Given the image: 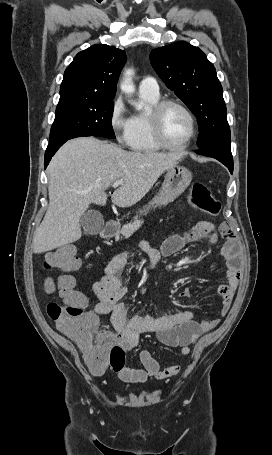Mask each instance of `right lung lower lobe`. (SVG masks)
I'll return each mask as SVG.
<instances>
[{"label":"right lung lower lobe","instance_id":"right-lung-lower-lobe-1","mask_svg":"<svg viewBox=\"0 0 272 455\" xmlns=\"http://www.w3.org/2000/svg\"><path fill=\"white\" fill-rule=\"evenodd\" d=\"M67 140H63L54 144H49L46 153H45V168L47 167L49 161L51 160L52 156L55 154V152L66 142Z\"/></svg>","mask_w":272,"mask_h":455}]
</instances>
